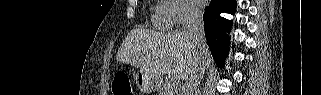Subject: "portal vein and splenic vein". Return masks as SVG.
<instances>
[{
	"instance_id": "obj_1",
	"label": "portal vein and splenic vein",
	"mask_w": 321,
	"mask_h": 95,
	"mask_svg": "<svg viewBox=\"0 0 321 95\" xmlns=\"http://www.w3.org/2000/svg\"><path fill=\"white\" fill-rule=\"evenodd\" d=\"M168 84L173 88H177L178 87L177 78L176 77L172 78Z\"/></svg>"
}]
</instances>
